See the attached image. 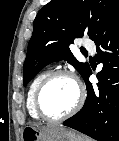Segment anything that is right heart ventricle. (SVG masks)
Masks as SVG:
<instances>
[{
  "label": "right heart ventricle",
  "instance_id": "e07e8e85",
  "mask_svg": "<svg viewBox=\"0 0 119 141\" xmlns=\"http://www.w3.org/2000/svg\"><path fill=\"white\" fill-rule=\"evenodd\" d=\"M50 73L49 70H44L41 71L40 73H38L33 80L31 81L29 88H28V92H27V98H26V108L27 111L29 113V115L35 119V120H39V116L37 115L35 109H34V94L35 91L37 89V87L39 86V84L41 83V81Z\"/></svg>",
  "mask_w": 119,
  "mask_h": 141
}]
</instances>
